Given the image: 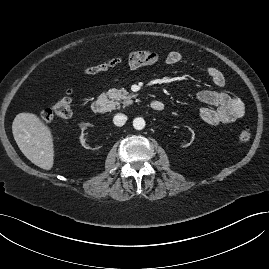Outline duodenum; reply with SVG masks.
Returning a JSON list of instances; mask_svg holds the SVG:
<instances>
[{
  "instance_id": "duodenum-1",
  "label": "duodenum",
  "mask_w": 269,
  "mask_h": 269,
  "mask_svg": "<svg viewBox=\"0 0 269 269\" xmlns=\"http://www.w3.org/2000/svg\"><path fill=\"white\" fill-rule=\"evenodd\" d=\"M109 107L108 100L105 97H100L92 103V111L95 114H104ZM165 105L161 100H153L150 103V109L156 113H160L164 110Z\"/></svg>"
}]
</instances>
